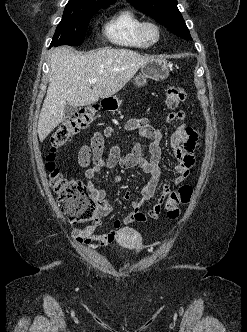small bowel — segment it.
<instances>
[{"label":"small bowel","instance_id":"small-bowel-1","mask_svg":"<svg viewBox=\"0 0 247 332\" xmlns=\"http://www.w3.org/2000/svg\"><path fill=\"white\" fill-rule=\"evenodd\" d=\"M185 118L184 111H177L167 115L168 121ZM128 131H137L141 138L148 140V151L150 157L147 159L142 155V148L139 142L135 143L131 151L124 153L117 145H112L107 157L104 156V138L100 133H95L90 146H83L79 152V163L85 167V178L87 188L96 205L95 223L86 228H73L72 235L76 241L84 244H93L96 246H105L116 240L119 230L110 229L108 232L96 233V228L101 220L111 214L113 206L105 200L106 192L96 186L95 175L103 169H111L115 166L122 168L140 167L147 175L148 181L142 187L141 200H134L131 203V211L124 217L122 223L127 225L133 221H145L147 218L157 220L161 216L162 207L165 204L171 189L168 185L162 187L161 193L155 204L147 212L141 211V205L155 196L159 179L162 174L160 166L161 160V140L160 130L154 128L148 118L130 119L125 125ZM110 129L106 130L109 135ZM197 132L185 124L177 127L171 137V147L177 164L174 167L177 176L173 182L176 186H181L188 177L189 170L194 164V154L198 148ZM92 163L91 167H88ZM114 181H119L120 176L113 177ZM124 198L129 199L130 193L125 192Z\"/></svg>","mask_w":247,"mask_h":332}]
</instances>
